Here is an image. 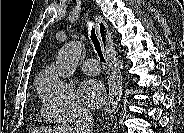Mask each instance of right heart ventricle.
Wrapping results in <instances>:
<instances>
[{"label":"right heart ventricle","mask_w":184,"mask_h":133,"mask_svg":"<svg viewBox=\"0 0 184 133\" xmlns=\"http://www.w3.org/2000/svg\"><path fill=\"white\" fill-rule=\"evenodd\" d=\"M45 74H46V73H45ZM45 74H43V75L41 76V78H40V80H39V83H40V81H41L42 77H43Z\"/></svg>","instance_id":"obj_1"}]
</instances>
